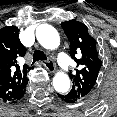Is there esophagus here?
Instances as JSON below:
<instances>
[{
  "mask_svg": "<svg viewBox=\"0 0 117 117\" xmlns=\"http://www.w3.org/2000/svg\"><path fill=\"white\" fill-rule=\"evenodd\" d=\"M43 65L49 70L51 73L55 72V65L52 61H45L43 62Z\"/></svg>",
  "mask_w": 117,
  "mask_h": 117,
  "instance_id": "obj_1",
  "label": "esophagus"
}]
</instances>
